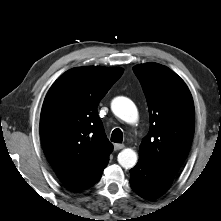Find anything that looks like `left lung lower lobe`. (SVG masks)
<instances>
[{
  "instance_id": "obj_1",
  "label": "left lung lower lobe",
  "mask_w": 221,
  "mask_h": 221,
  "mask_svg": "<svg viewBox=\"0 0 221 221\" xmlns=\"http://www.w3.org/2000/svg\"><path fill=\"white\" fill-rule=\"evenodd\" d=\"M130 173L133 191L148 200L163 195L170 188L175 177L142 158H139L137 165L130 170Z\"/></svg>"
}]
</instances>
